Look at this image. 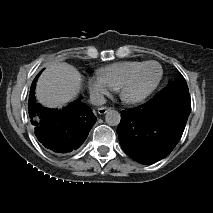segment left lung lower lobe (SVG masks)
Listing matches in <instances>:
<instances>
[{
  "mask_svg": "<svg viewBox=\"0 0 213 213\" xmlns=\"http://www.w3.org/2000/svg\"><path fill=\"white\" fill-rule=\"evenodd\" d=\"M191 111L188 86L170 84L144 105L121 112L122 149L142 164L166 157L179 142Z\"/></svg>",
  "mask_w": 213,
  "mask_h": 213,
  "instance_id": "left-lung-lower-lobe-1",
  "label": "left lung lower lobe"
}]
</instances>
